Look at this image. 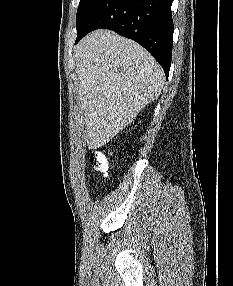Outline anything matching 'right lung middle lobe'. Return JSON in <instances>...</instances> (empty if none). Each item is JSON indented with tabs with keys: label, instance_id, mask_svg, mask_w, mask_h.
Here are the masks:
<instances>
[{
	"label": "right lung middle lobe",
	"instance_id": "obj_1",
	"mask_svg": "<svg viewBox=\"0 0 233 286\" xmlns=\"http://www.w3.org/2000/svg\"><path fill=\"white\" fill-rule=\"evenodd\" d=\"M94 1L95 0H80L77 9L76 25H78L83 20Z\"/></svg>",
	"mask_w": 233,
	"mask_h": 286
}]
</instances>
